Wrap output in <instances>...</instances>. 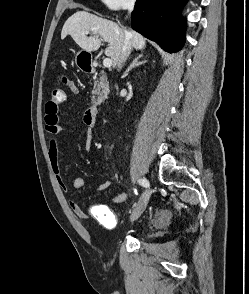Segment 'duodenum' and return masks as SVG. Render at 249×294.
Listing matches in <instances>:
<instances>
[{
	"label": "duodenum",
	"instance_id": "obj_1",
	"mask_svg": "<svg viewBox=\"0 0 249 294\" xmlns=\"http://www.w3.org/2000/svg\"><path fill=\"white\" fill-rule=\"evenodd\" d=\"M83 69H84V71H86L88 73L95 72V67L93 64H86L83 66ZM99 107H100V101L98 99H96L95 101L92 102V104L87 109V114L91 120H93V121L96 120Z\"/></svg>",
	"mask_w": 249,
	"mask_h": 294
}]
</instances>
